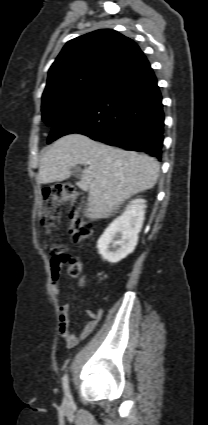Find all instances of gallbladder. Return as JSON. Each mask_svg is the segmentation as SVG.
Listing matches in <instances>:
<instances>
[{
    "label": "gallbladder",
    "mask_w": 208,
    "mask_h": 425,
    "mask_svg": "<svg viewBox=\"0 0 208 425\" xmlns=\"http://www.w3.org/2000/svg\"><path fill=\"white\" fill-rule=\"evenodd\" d=\"M71 174L77 178L82 176V171L78 167L71 168Z\"/></svg>",
    "instance_id": "obj_1"
}]
</instances>
